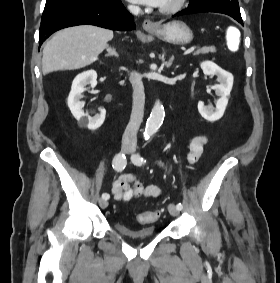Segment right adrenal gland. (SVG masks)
Instances as JSON below:
<instances>
[{
	"label": "right adrenal gland",
	"instance_id": "right-adrenal-gland-1",
	"mask_svg": "<svg viewBox=\"0 0 280 283\" xmlns=\"http://www.w3.org/2000/svg\"><path fill=\"white\" fill-rule=\"evenodd\" d=\"M106 50H107V54L105 55L106 57H110V56H114L116 58L119 57V55H118V53H117V51L114 47L107 45Z\"/></svg>",
	"mask_w": 280,
	"mask_h": 283
}]
</instances>
